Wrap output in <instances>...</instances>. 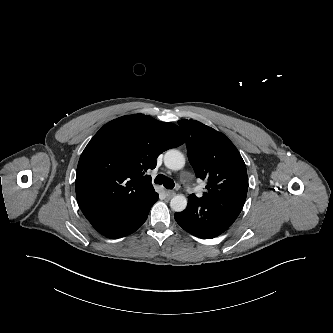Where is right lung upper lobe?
Returning a JSON list of instances; mask_svg holds the SVG:
<instances>
[{
    "instance_id": "obj_1",
    "label": "right lung upper lobe",
    "mask_w": 333,
    "mask_h": 333,
    "mask_svg": "<svg viewBox=\"0 0 333 333\" xmlns=\"http://www.w3.org/2000/svg\"><path fill=\"white\" fill-rule=\"evenodd\" d=\"M184 142L178 126L148 115L122 116L104 125L77 166L76 197L85 217L125 213L155 199L147 171L162 152Z\"/></svg>"
}]
</instances>
